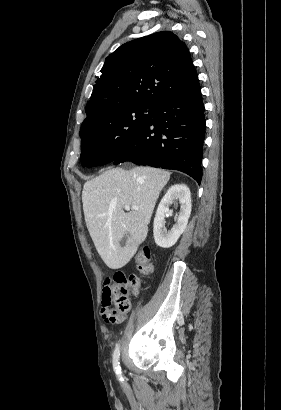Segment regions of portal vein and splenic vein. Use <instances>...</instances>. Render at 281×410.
Returning <instances> with one entry per match:
<instances>
[{
    "label": "portal vein and splenic vein",
    "mask_w": 281,
    "mask_h": 410,
    "mask_svg": "<svg viewBox=\"0 0 281 410\" xmlns=\"http://www.w3.org/2000/svg\"><path fill=\"white\" fill-rule=\"evenodd\" d=\"M124 208H125L126 211H129L130 209L139 210V207H137V206H132V207H130V206L127 205V206H125Z\"/></svg>",
    "instance_id": "1"
}]
</instances>
